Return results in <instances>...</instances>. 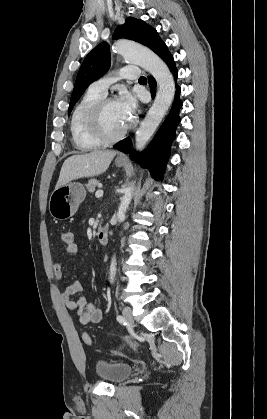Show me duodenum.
Returning <instances> with one entry per match:
<instances>
[{
    "label": "duodenum",
    "instance_id": "obj_1",
    "mask_svg": "<svg viewBox=\"0 0 267 419\" xmlns=\"http://www.w3.org/2000/svg\"><path fill=\"white\" fill-rule=\"evenodd\" d=\"M108 236H109V232H108V227H106V226L101 227L97 231V234H96L97 241L102 245L107 244Z\"/></svg>",
    "mask_w": 267,
    "mask_h": 419
}]
</instances>
